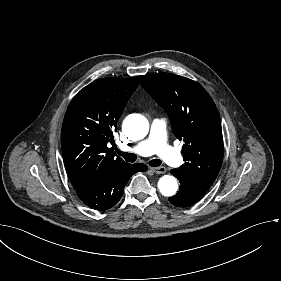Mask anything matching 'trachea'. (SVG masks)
<instances>
[{"instance_id": "trachea-1", "label": "trachea", "mask_w": 281, "mask_h": 281, "mask_svg": "<svg viewBox=\"0 0 281 281\" xmlns=\"http://www.w3.org/2000/svg\"><path fill=\"white\" fill-rule=\"evenodd\" d=\"M116 153L119 154L120 156H122L125 159V161L130 162V163L135 162L137 159V155L134 153L122 152L119 149L116 150ZM148 164L152 167H158L159 165H161V160L153 159V160H150L148 162Z\"/></svg>"}]
</instances>
